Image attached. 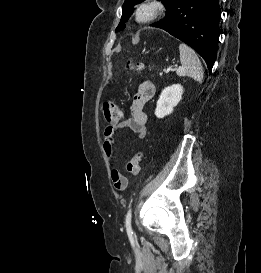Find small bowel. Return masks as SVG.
Instances as JSON below:
<instances>
[{
  "mask_svg": "<svg viewBox=\"0 0 261 273\" xmlns=\"http://www.w3.org/2000/svg\"><path fill=\"white\" fill-rule=\"evenodd\" d=\"M155 93V85L149 80L143 81L134 96L129 115L105 128L103 149L108 161L113 166L111 179L116 190H119L116 186L118 179L125 182V187L127 186V179L116 167L115 134L124 129H129L131 134L138 139H143L146 136L147 114L145 108L147 103L155 96Z\"/></svg>",
  "mask_w": 261,
  "mask_h": 273,
  "instance_id": "c3829d8e",
  "label": "small bowel"
}]
</instances>
